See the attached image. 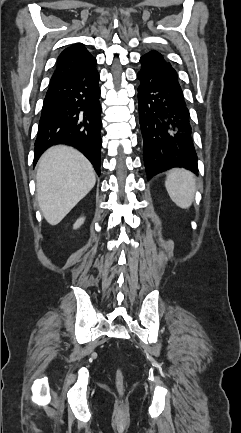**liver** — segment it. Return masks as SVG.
Returning a JSON list of instances; mask_svg holds the SVG:
<instances>
[{
  "instance_id": "1",
  "label": "liver",
  "mask_w": 241,
  "mask_h": 433,
  "mask_svg": "<svg viewBox=\"0 0 241 433\" xmlns=\"http://www.w3.org/2000/svg\"><path fill=\"white\" fill-rule=\"evenodd\" d=\"M96 182L91 163L76 149L58 145L39 159L36 191L39 208L54 226L83 199Z\"/></svg>"
}]
</instances>
